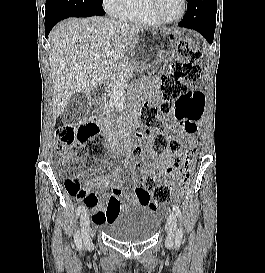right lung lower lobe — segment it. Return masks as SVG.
Returning <instances> with one entry per match:
<instances>
[{"instance_id":"right-lung-lower-lobe-1","label":"right lung lower lobe","mask_w":265,"mask_h":273,"mask_svg":"<svg viewBox=\"0 0 265 273\" xmlns=\"http://www.w3.org/2000/svg\"><path fill=\"white\" fill-rule=\"evenodd\" d=\"M62 19H55V20H49V21H45V37H48L49 32L51 31V29L54 27V25L59 22Z\"/></svg>"}]
</instances>
